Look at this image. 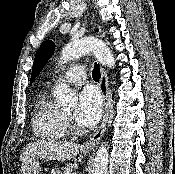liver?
<instances>
[{
  "instance_id": "1",
  "label": "liver",
  "mask_w": 175,
  "mask_h": 174,
  "mask_svg": "<svg viewBox=\"0 0 175 174\" xmlns=\"http://www.w3.org/2000/svg\"><path fill=\"white\" fill-rule=\"evenodd\" d=\"M79 145L73 142L61 141H35L28 143L23 149L20 161L23 163L37 158L69 161L77 156Z\"/></svg>"
}]
</instances>
